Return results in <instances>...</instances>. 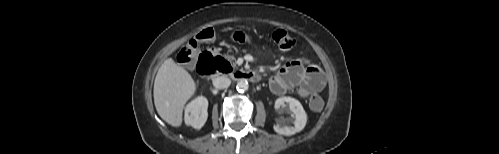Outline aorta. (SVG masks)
Returning <instances> with one entry per match:
<instances>
[{
  "instance_id": "1",
  "label": "aorta",
  "mask_w": 499,
  "mask_h": 154,
  "mask_svg": "<svg viewBox=\"0 0 499 154\" xmlns=\"http://www.w3.org/2000/svg\"><path fill=\"white\" fill-rule=\"evenodd\" d=\"M237 91L239 92H244L246 90H248L249 88V84L246 80H240L238 83H237Z\"/></svg>"
}]
</instances>
